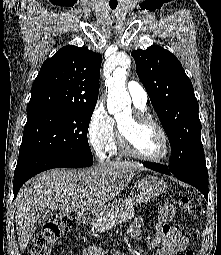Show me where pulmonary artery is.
Here are the masks:
<instances>
[{
	"label": "pulmonary artery",
	"mask_w": 221,
	"mask_h": 255,
	"mask_svg": "<svg viewBox=\"0 0 221 255\" xmlns=\"http://www.w3.org/2000/svg\"><path fill=\"white\" fill-rule=\"evenodd\" d=\"M127 90L135 106L146 107L148 94L140 83L129 81L127 83Z\"/></svg>",
	"instance_id": "e3ab8cb5"
}]
</instances>
